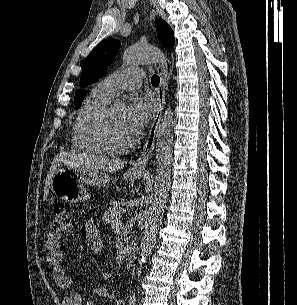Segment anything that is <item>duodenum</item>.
<instances>
[{
  "mask_svg": "<svg viewBox=\"0 0 297 305\" xmlns=\"http://www.w3.org/2000/svg\"><path fill=\"white\" fill-rule=\"evenodd\" d=\"M136 253H137V245L135 242H131L127 247V258L125 262V268L129 270L135 259H136Z\"/></svg>",
  "mask_w": 297,
  "mask_h": 305,
  "instance_id": "410a0bca",
  "label": "duodenum"
}]
</instances>
